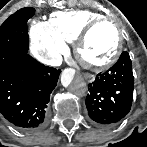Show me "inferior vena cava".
<instances>
[{
  "instance_id": "1",
  "label": "inferior vena cava",
  "mask_w": 147,
  "mask_h": 147,
  "mask_svg": "<svg viewBox=\"0 0 147 147\" xmlns=\"http://www.w3.org/2000/svg\"><path fill=\"white\" fill-rule=\"evenodd\" d=\"M62 63V58L60 57L57 61L53 62L51 65L52 66H60Z\"/></svg>"
}]
</instances>
